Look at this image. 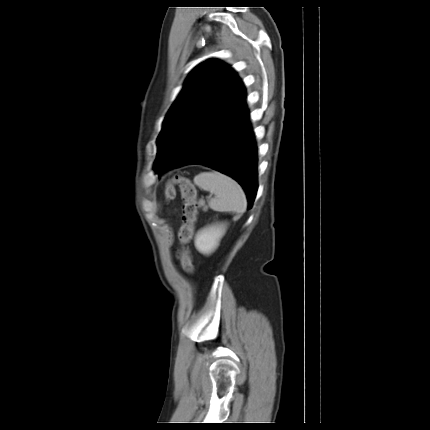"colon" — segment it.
<instances>
[{
    "label": "colon",
    "mask_w": 430,
    "mask_h": 430,
    "mask_svg": "<svg viewBox=\"0 0 430 430\" xmlns=\"http://www.w3.org/2000/svg\"><path fill=\"white\" fill-rule=\"evenodd\" d=\"M176 187L180 189L182 198V226L179 231L181 247L179 249V258L183 270L191 275L194 273V265L188 244L193 237L195 223L198 217L199 204L197 191L189 178L183 175H176L167 184L165 189V196L168 201L175 198Z\"/></svg>",
    "instance_id": "obj_1"
}]
</instances>
